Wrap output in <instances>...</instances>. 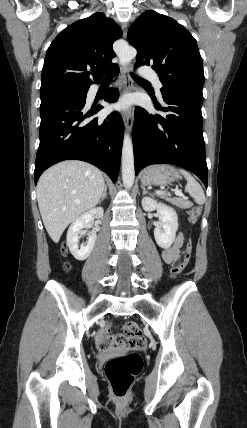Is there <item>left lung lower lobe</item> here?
<instances>
[{"instance_id":"left-lung-lower-lobe-1","label":"left lung lower lobe","mask_w":247,"mask_h":428,"mask_svg":"<svg viewBox=\"0 0 247 428\" xmlns=\"http://www.w3.org/2000/svg\"><path fill=\"white\" fill-rule=\"evenodd\" d=\"M166 114L137 107L133 125L135 173L152 164H174L197 175L207 188L208 169L202 127V99L184 94L162 95Z\"/></svg>"}]
</instances>
